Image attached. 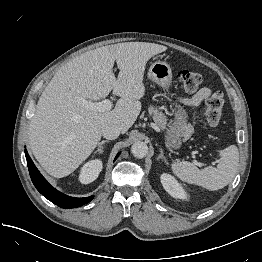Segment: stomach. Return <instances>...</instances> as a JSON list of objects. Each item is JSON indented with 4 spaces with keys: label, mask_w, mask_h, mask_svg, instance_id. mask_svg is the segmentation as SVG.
<instances>
[{
    "label": "stomach",
    "mask_w": 262,
    "mask_h": 262,
    "mask_svg": "<svg viewBox=\"0 0 262 262\" xmlns=\"http://www.w3.org/2000/svg\"><path fill=\"white\" fill-rule=\"evenodd\" d=\"M148 78L161 86L168 89L172 83V70L170 66L163 61H157L153 63L148 70ZM174 120L166 129L165 138L167 144L171 148H179L182 144L183 137H186L189 132V125L187 124L188 114L186 110L176 105L174 109Z\"/></svg>",
    "instance_id": "0dacf381"
}]
</instances>
